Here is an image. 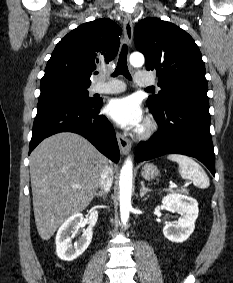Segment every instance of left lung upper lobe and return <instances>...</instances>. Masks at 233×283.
I'll return each mask as SVG.
<instances>
[{
    "instance_id": "1",
    "label": "left lung upper lobe",
    "mask_w": 233,
    "mask_h": 283,
    "mask_svg": "<svg viewBox=\"0 0 233 283\" xmlns=\"http://www.w3.org/2000/svg\"><path fill=\"white\" fill-rule=\"evenodd\" d=\"M135 45L146 60V69L155 70L158 95L147 104L162 109L178 98L207 97L205 65L193 38L178 26L159 18H145L134 30Z\"/></svg>"
}]
</instances>
